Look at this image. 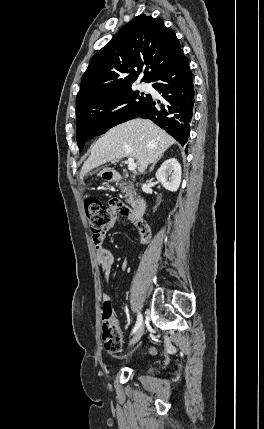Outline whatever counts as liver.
<instances>
[{
    "label": "liver",
    "mask_w": 264,
    "mask_h": 429,
    "mask_svg": "<svg viewBox=\"0 0 264 429\" xmlns=\"http://www.w3.org/2000/svg\"><path fill=\"white\" fill-rule=\"evenodd\" d=\"M174 142V138L147 119L136 118L119 124L95 142L83 164L80 178L83 180L85 175L102 164L124 157L135 159L138 171L143 173ZM104 171L114 170L108 168L101 174Z\"/></svg>",
    "instance_id": "liver-1"
}]
</instances>
